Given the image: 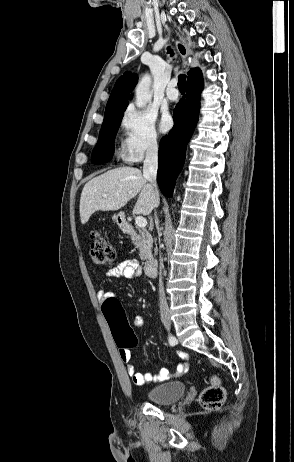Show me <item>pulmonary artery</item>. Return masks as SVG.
Returning a JSON list of instances; mask_svg holds the SVG:
<instances>
[{
  "instance_id": "1",
  "label": "pulmonary artery",
  "mask_w": 294,
  "mask_h": 462,
  "mask_svg": "<svg viewBox=\"0 0 294 462\" xmlns=\"http://www.w3.org/2000/svg\"><path fill=\"white\" fill-rule=\"evenodd\" d=\"M179 97L178 91L176 89V81L173 80L169 83L166 89V98L169 101H176Z\"/></svg>"
}]
</instances>
